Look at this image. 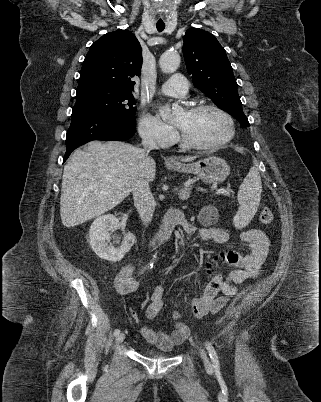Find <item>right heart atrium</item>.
Wrapping results in <instances>:
<instances>
[{
    "instance_id": "obj_1",
    "label": "right heart atrium",
    "mask_w": 321,
    "mask_h": 402,
    "mask_svg": "<svg viewBox=\"0 0 321 402\" xmlns=\"http://www.w3.org/2000/svg\"><path fill=\"white\" fill-rule=\"evenodd\" d=\"M138 130L144 141L159 147H168L176 140V134L170 126L159 122L148 114L141 117Z\"/></svg>"
}]
</instances>
